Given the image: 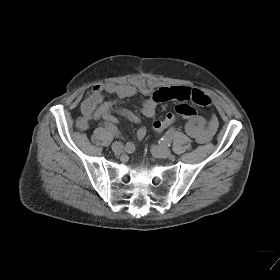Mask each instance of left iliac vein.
Masks as SVG:
<instances>
[{"mask_svg":"<svg viewBox=\"0 0 280 280\" xmlns=\"http://www.w3.org/2000/svg\"><path fill=\"white\" fill-rule=\"evenodd\" d=\"M152 152L155 156L159 157V158H168L171 156V151L163 146H157L154 145L152 147Z\"/></svg>","mask_w":280,"mask_h":280,"instance_id":"1","label":"left iliac vein"}]
</instances>
